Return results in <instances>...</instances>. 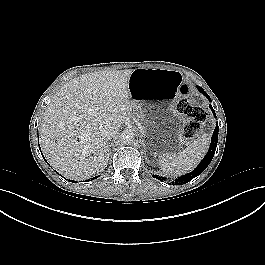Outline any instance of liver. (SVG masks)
<instances>
[{"label": "liver", "instance_id": "liver-1", "mask_svg": "<svg viewBox=\"0 0 265 265\" xmlns=\"http://www.w3.org/2000/svg\"><path fill=\"white\" fill-rule=\"evenodd\" d=\"M133 70L81 75L64 84L43 114L40 144L50 165L67 178L87 179L108 163L105 125L119 129L132 115Z\"/></svg>", "mask_w": 265, "mask_h": 265}]
</instances>
